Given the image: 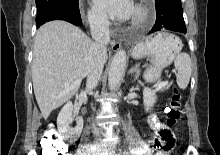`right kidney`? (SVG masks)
Listing matches in <instances>:
<instances>
[{
  "label": "right kidney",
  "mask_w": 220,
  "mask_h": 155,
  "mask_svg": "<svg viewBox=\"0 0 220 155\" xmlns=\"http://www.w3.org/2000/svg\"><path fill=\"white\" fill-rule=\"evenodd\" d=\"M73 104L72 102H67L57 117V126L59 134L67 140L77 139L83 129V119L79 118L75 128H71L70 124L73 121Z\"/></svg>",
  "instance_id": "1"
}]
</instances>
